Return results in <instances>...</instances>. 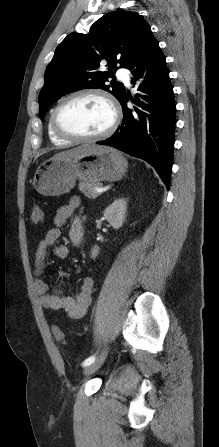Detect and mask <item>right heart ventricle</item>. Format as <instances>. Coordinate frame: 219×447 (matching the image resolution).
Listing matches in <instances>:
<instances>
[{"instance_id":"e07e8e85","label":"right heart ventricle","mask_w":219,"mask_h":447,"mask_svg":"<svg viewBox=\"0 0 219 447\" xmlns=\"http://www.w3.org/2000/svg\"><path fill=\"white\" fill-rule=\"evenodd\" d=\"M47 133H48V137H49L50 141H51L52 143H54V144L61 145V144L70 142V141H68V140H65V139L59 137V136L53 131V129H52V125H51V115H50V117H49V119H48V122H47Z\"/></svg>"}]
</instances>
